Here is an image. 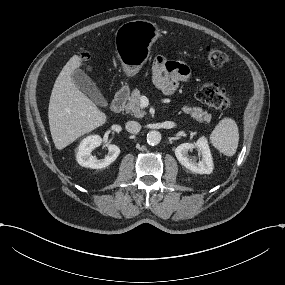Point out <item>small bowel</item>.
Listing matches in <instances>:
<instances>
[{
    "label": "small bowel",
    "instance_id": "c3829d8e",
    "mask_svg": "<svg viewBox=\"0 0 285 285\" xmlns=\"http://www.w3.org/2000/svg\"><path fill=\"white\" fill-rule=\"evenodd\" d=\"M151 70L154 85L166 95L173 94L180 83L188 82L191 77L186 64L168 61L161 56L155 58Z\"/></svg>",
    "mask_w": 285,
    "mask_h": 285
}]
</instances>
